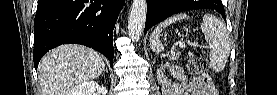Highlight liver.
<instances>
[{
  "mask_svg": "<svg viewBox=\"0 0 277 95\" xmlns=\"http://www.w3.org/2000/svg\"><path fill=\"white\" fill-rule=\"evenodd\" d=\"M39 68L43 95H70L77 85L99 77L105 63L95 50L68 44L49 51Z\"/></svg>",
  "mask_w": 277,
  "mask_h": 95,
  "instance_id": "1",
  "label": "liver"
}]
</instances>
